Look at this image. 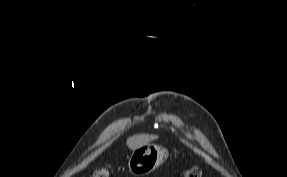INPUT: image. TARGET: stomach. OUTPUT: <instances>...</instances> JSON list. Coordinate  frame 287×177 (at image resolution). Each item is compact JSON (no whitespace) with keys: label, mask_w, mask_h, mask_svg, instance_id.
Instances as JSON below:
<instances>
[{"label":"stomach","mask_w":287,"mask_h":177,"mask_svg":"<svg viewBox=\"0 0 287 177\" xmlns=\"http://www.w3.org/2000/svg\"><path fill=\"white\" fill-rule=\"evenodd\" d=\"M167 158V149L156 144H145L133 150L128 161L129 171L134 175H147Z\"/></svg>","instance_id":"1"}]
</instances>
